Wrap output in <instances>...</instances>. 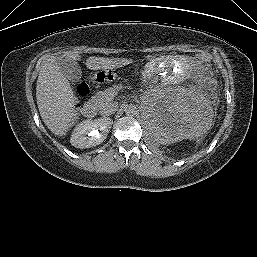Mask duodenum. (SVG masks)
<instances>
[{"instance_id": "duodenum-1", "label": "duodenum", "mask_w": 257, "mask_h": 257, "mask_svg": "<svg viewBox=\"0 0 257 257\" xmlns=\"http://www.w3.org/2000/svg\"><path fill=\"white\" fill-rule=\"evenodd\" d=\"M97 112L96 104L93 101H87L83 108L82 113L86 117H93Z\"/></svg>"}]
</instances>
